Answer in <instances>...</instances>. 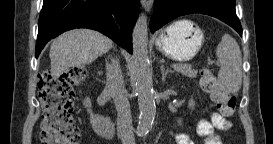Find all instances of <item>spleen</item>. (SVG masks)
<instances>
[{"instance_id": "spleen-1", "label": "spleen", "mask_w": 273, "mask_h": 144, "mask_svg": "<svg viewBox=\"0 0 273 144\" xmlns=\"http://www.w3.org/2000/svg\"><path fill=\"white\" fill-rule=\"evenodd\" d=\"M216 57L221 65L219 85L228 93H237L242 84V55L238 43L229 34H225L218 44Z\"/></svg>"}]
</instances>
